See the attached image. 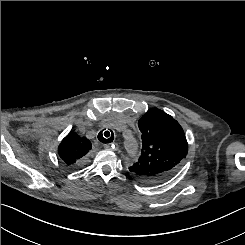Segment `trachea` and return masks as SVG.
<instances>
[{"instance_id":"trachea-1","label":"trachea","mask_w":245,"mask_h":245,"mask_svg":"<svg viewBox=\"0 0 245 245\" xmlns=\"http://www.w3.org/2000/svg\"><path fill=\"white\" fill-rule=\"evenodd\" d=\"M98 140L102 143H111L114 140L112 130L100 131L98 134Z\"/></svg>"}]
</instances>
